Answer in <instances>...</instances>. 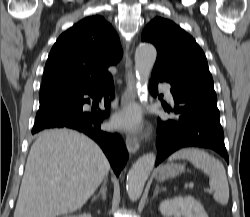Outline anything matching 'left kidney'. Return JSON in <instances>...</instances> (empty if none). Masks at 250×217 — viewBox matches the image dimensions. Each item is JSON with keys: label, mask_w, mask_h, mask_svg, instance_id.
Returning a JSON list of instances; mask_svg holds the SVG:
<instances>
[{"label": "left kidney", "mask_w": 250, "mask_h": 217, "mask_svg": "<svg viewBox=\"0 0 250 217\" xmlns=\"http://www.w3.org/2000/svg\"><path fill=\"white\" fill-rule=\"evenodd\" d=\"M159 210L165 217H208L201 203L192 196L164 200Z\"/></svg>", "instance_id": "5707ae66"}]
</instances>
